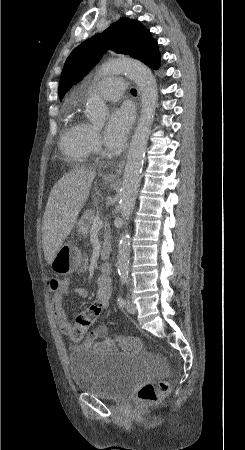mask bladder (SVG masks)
<instances>
[{"label": "bladder", "instance_id": "obj_1", "mask_svg": "<svg viewBox=\"0 0 245 450\" xmlns=\"http://www.w3.org/2000/svg\"><path fill=\"white\" fill-rule=\"evenodd\" d=\"M75 388L102 399L119 400L145 378V366L138 355L82 350L69 357Z\"/></svg>", "mask_w": 245, "mask_h": 450}]
</instances>
